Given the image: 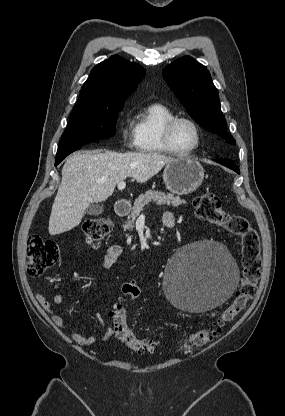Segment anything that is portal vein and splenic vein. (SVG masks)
<instances>
[{"label": "portal vein and splenic vein", "mask_w": 285, "mask_h": 416, "mask_svg": "<svg viewBox=\"0 0 285 416\" xmlns=\"http://www.w3.org/2000/svg\"><path fill=\"white\" fill-rule=\"evenodd\" d=\"M125 186H126L125 182H119L117 188L118 190H124Z\"/></svg>", "instance_id": "portal-vein-and-splenic-vein-1"}]
</instances>
